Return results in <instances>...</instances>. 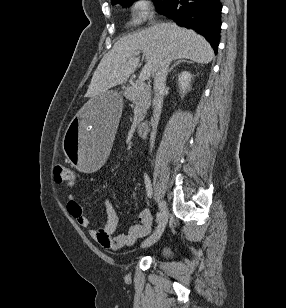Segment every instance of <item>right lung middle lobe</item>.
Here are the masks:
<instances>
[{"mask_svg":"<svg viewBox=\"0 0 286 308\" xmlns=\"http://www.w3.org/2000/svg\"><path fill=\"white\" fill-rule=\"evenodd\" d=\"M135 0H116L115 2L112 3V5H116V4H120V5H129L131 4L132 2H134ZM158 8H160L164 3L165 1H160V0H155Z\"/></svg>","mask_w":286,"mask_h":308,"instance_id":"obj_1","label":"right lung middle lobe"}]
</instances>
